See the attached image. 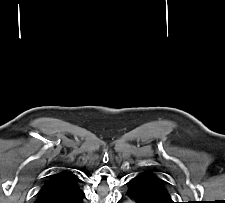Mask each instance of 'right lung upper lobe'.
<instances>
[{
  "instance_id": "cb5924a9",
  "label": "right lung upper lobe",
  "mask_w": 225,
  "mask_h": 203,
  "mask_svg": "<svg viewBox=\"0 0 225 203\" xmlns=\"http://www.w3.org/2000/svg\"><path fill=\"white\" fill-rule=\"evenodd\" d=\"M81 182L79 177L71 171L65 170L54 174L42 187L37 202L42 198L53 200V198L73 197L82 191Z\"/></svg>"
}]
</instances>
